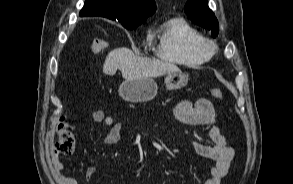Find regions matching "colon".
Instances as JSON below:
<instances>
[{"label": "colon", "mask_w": 293, "mask_h": 184, "mask_svg": "<svg viewBox=\"0 0 293 184\" xmlns=\"http://www.w3.org/2000/svg\"><path fill=\"white\" fill-rule=\"evenodd\" d=\"M107 47V41L102 38H97L92 41L89 46V52L92 54H97L102 52ZM211 96L217 100L223 99V92L220 88L211 87L209 89ZM75 146L74 137L72 135L71 128L69 124L61 120L56 130V140L54 143L53 152L56 156H69L72 154Z\"/></svg>", "instance_id": "1"}]
</instances>
